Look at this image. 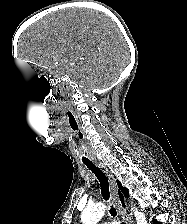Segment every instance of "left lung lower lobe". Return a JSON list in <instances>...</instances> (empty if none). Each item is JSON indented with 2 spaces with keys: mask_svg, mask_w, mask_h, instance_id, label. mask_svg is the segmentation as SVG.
<instances>
[{
  "mask_svg": "<svg viewBox=\"0 0 187 224\" xmlns=\"http://www.w3.org/2000/svg\"><path fill=\"white\" fill-rule=\"evenodd\" d=\"M153 223H154V224H159V222H157L156 220H153Z\"/></svg>",
  "mask_w": 187,
  "mask_h": 224,
  "instance_id": "0a47b994",
  "label": "left lung lower lobe"
}]
</instances>
